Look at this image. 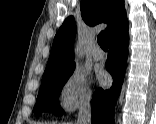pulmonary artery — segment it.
Wrapping results in <instances>:
<instances>
[{"instance_id":"obj_1","label":"pulmonary artery","mask_w":156,"mask_h":124,"mask_svg":"<svg viewBox=\"0 0 156 124\" xmlns=\"http://www.w3.org/2000/svg\"><path fill=\"white\" fill-rule=\"evenodd\" d=\"M92 56L95 60H101L104 57V53L99 47H95L92 50Z\"/></svg>"}]
</instances>
